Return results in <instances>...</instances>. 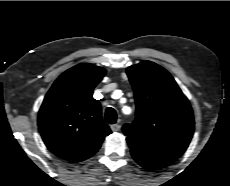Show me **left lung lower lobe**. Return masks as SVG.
Segmentation results:
<instances>
[{"instance_id":"obj_1","label":"left lung lower lobe","mask_w":230,"mask_h":186,"mask_svg":"<svg viewBox=\"0 0 230 186\" xmlns=\"http://www.w3.org/2000/svg\"><path fill=\"white\" fill-rule=\"evenodd\" d=\"M131 154L133 158L135 159V161L146 169L163 168L172 163V161L150 158V157L142 156L134 152H131Z\"/></svg>"}]
</instances>
